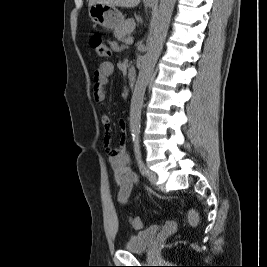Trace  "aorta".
<instances>
[{
    "label": "aorta",
    "instance_id": "aorta-1",
    "mask_svg": "<svg viewBox=\"0 0 267 267\" xmlns=\"http://www.w3.org/2000/svg\"><path fill=\"white\" fill-rule=\"evenodd\" d=\"M175 2L176 0H160L158 14L153 22L147 40V52L142 59L130 105V129L133 140L136 141L139 139L140 134L141 110L143 107L145 90L160 56Z\"/></svg>",
    "mask_w": 267,
    "mask_h": 267
}]
</instances>
